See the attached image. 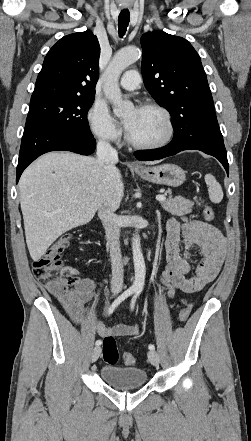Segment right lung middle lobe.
Masks as SVG:
<instances>
[{
    "label": "right lung middle lobe",
    "mask_w": 251,
    "mask_h": 441,
    "mask_svg": "<svg viewBox=\"0 0 251 441\" xmlns=\"http://www.w3.org/2000/svg\"><path fill=\"white\" fill-rule=\"evenodd\" d=\"M94 96H59L30 102L27 120H37L73 134H91L87 113Z\"/></svg>",
    "instance_id": "1"
}]
</instances>
